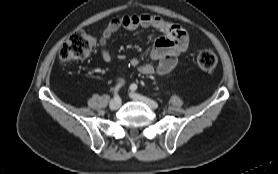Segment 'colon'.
<instances>
[{
	"mask_svg": "<svg viewBox=\"0 0 278 174\" xmlns=\"http://www.w3.org/2000/svg\"><path fill=\"white\" fill-rule=\"evenodd\" d=\"M96 38L84 31H74L59 51L60 60L68 63L88 57L96 48ZM217 56L210 49L201 50L197 56L198 67L206 72L212 71L217 65Z\"/></svg>",
	"mask_w": 278,
	"mask_h": 174,
	"instance_id": "1",
	"label": "colon"
}]
</instances>
